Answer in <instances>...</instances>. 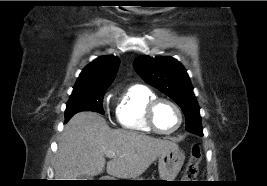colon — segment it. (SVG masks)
Wrapping results in <instances>:
<instances>
[{
	"instance_id": "colon-1",
	"label": "colon",
	"mask_w": 267,
	"mask_h": 186,
	"mask_svg": "<svg viewBox=\"0 0 267 186\" xmlns=\"http://www.w3.org/2000/svg\"><path fill=\"white\" fill-rule=\"evenodd\" d=\"M201 159H202L201 148L198 144H194L191 147L190 156L185 168L184 177L185 180H187V182H192L196 178Z\"/></svg>"
}]
</instances>
